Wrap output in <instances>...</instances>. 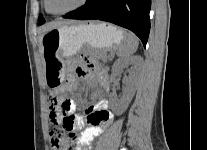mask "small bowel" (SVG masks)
<instances>
[{"instance_id":"small-bowel-1","label":"small bowel","mask_w":207,"mask_h":150,"mask_svg":"<svg viewBox=\"0 0 207 150\" xmlns=\"http://www.w3.org/2000/svg\"><path fill=\"white\" fill-rule=\"evenodd\" d=\"M76 75L85 79L94 80L102 92L108 90L107 76L103 68L95 63H90V69L78 67ZM68 88L75 89L76 81L71 77L68 81ZM66 99V98H62ZM70 107H67L68 115L72 120V130H82L77 137L78 150H87L89 144L103 131L113 120V113L109 111L106 100H100L95 105L88 107L84 114H75L76 105L72 100Z\"/></svg>"}]
</instances>
